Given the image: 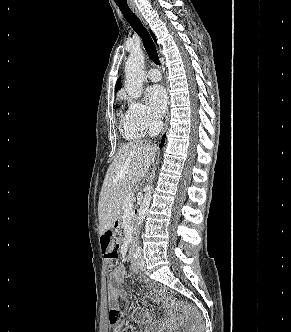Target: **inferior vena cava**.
<instances>
[{
    "mask_svg": "<svg viewBox=\"0 0 291 332\" xmlns=\"http://www.w3.org/2000/svg\"><path fill=\"white\" fill-rule=\"evenodd\" d=\"M163 128V122L160 120L153 121L151 127H150V132L149 136L155 137L157 136Z\"/></svg>",
    "mask_w": 291,
    "mask_h": 332,
    "instance_id": "1",
    "label": "inferior vena cava"
}]
</instances>
